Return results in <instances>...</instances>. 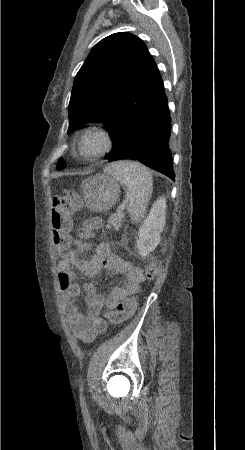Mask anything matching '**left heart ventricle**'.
Here are the masks:
<instances>
[{
    "label": "left heart ventricle",
    "mask_w": 245,
    "mask_h": 450,
    "mask_svg": "<svg viewBox=\"0 0 245 450\" xmlns=\"http://www.w3.org/2000/svg\"><path fill=\"white\" fill-rule=\"evenodd\" d=\"M101 145L102 142L99 138H92L85 144L83 151L85 153H94L101 147Z\"/></svg>",
    "instance_id": "left-heart-ventricle-1"
}]
</instances>
